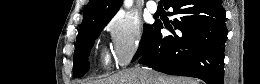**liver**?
I'll use <instances>...</instances> for the list:
<instances>
[{
    "mask_svg": "<svg viewBox=\"0 0 260 84\" xmlns=\"http://www.w3.org/2000/svg\"><path fill=\"white\" fill-rule=\"evenodd\" d=\"M86 84H199V81L190 77L163 75L148 68H131Z\"/></svg>",
    "mask_w": 260,
    "mask_h": 84,
    "instance_id": "liver-1",
    "label": "liver"
}]
</instances>
